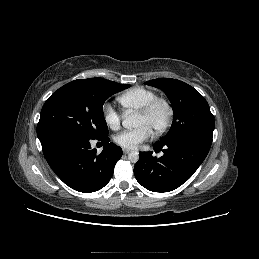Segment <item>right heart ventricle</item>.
Listing matches in <instances>:
<instances>
[{
	"label": "right heart ventricle",
	"mask_w": 259,
	"mask_h": 259,
	"mask_svg": "<svg viewBox=\"0 0 259 259\" xmlns=\"http://www.w3.org/2000/svg\"><path fill=\"white\" fill-rule=\"evenodd\" d=\"M157 97V93L144 87H134L117 97L118 102L126 110L139 111L149 101Z\"/></svg>",
	"instance_id": "obj_1"
}]
</instances>
